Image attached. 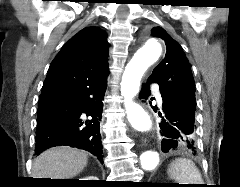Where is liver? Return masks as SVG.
<instances>
[{"instance_id":"obj_1","label":"liver","mask_w":240,"mask_h":187,"mask_svg":"<svg viewBox=\"0 0 240 187\" xmlns=\"http://www.w3.org/2000/svg\"><path fill=\"white\" fill-rule=\"evenodd\" d=\"M84 151L69 146L53 147L36 157L32 164V178L70 179L87 165Z\"/></svg>"}]
</instances>
